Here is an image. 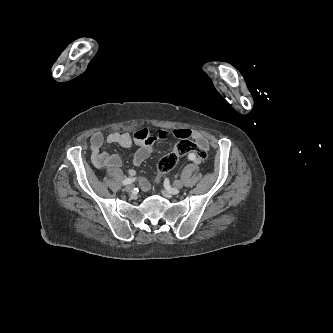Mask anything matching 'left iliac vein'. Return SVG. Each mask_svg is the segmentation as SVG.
Here are the masks:
<instances>
[{"mask_svg": "<svg viewBox=\"0 0 333 333\" xmlns=\"http://www.w3.org/2000/svg\"><path fill=\"white\" fill-rule=\"evenodd\" d=\"M173 187L175 189H181L183 187V182L180 180H176L173 182Z\"/></svg>", "mask_w": 333, "mask_h": 333, "instance_id": "4c4485c4", "label": "left iliac vein"}]
</instances>
